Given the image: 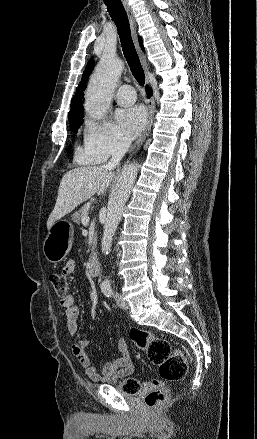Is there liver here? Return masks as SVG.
<instances>
[{"mask_svg":"<svg viewBox=\"0 0 257 439\" xmlns=\"http://www.w3.org/2000/svg\"><path fill=\"white\" fill-rule=\"evenodd\" d=\"M114 178L105 166L78 167L68 171L62 178L53 211L47 220V228L72 212L93 195L103 194Z\"/></svg>","mask_w":257,"mask_h":439,"instance_id":"6515ba94","label":"liver"}]
</instances>
